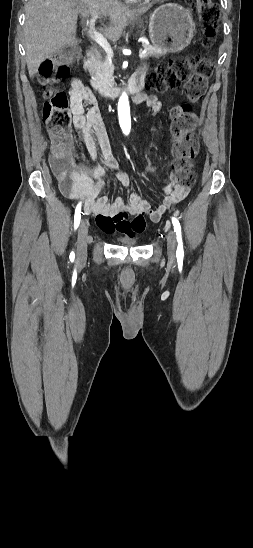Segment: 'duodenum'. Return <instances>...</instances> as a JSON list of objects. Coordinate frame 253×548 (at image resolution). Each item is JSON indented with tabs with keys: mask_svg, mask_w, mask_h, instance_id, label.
<instances>
[{
	"mask_svg": "<svg viewBox=\"0 0 253 548\" xmlns=\"http://www.w3.org/2000/svg\"><path fill=\"white\" fill-rule=\"evenodd\" d=\"M98 56H99V50L95 47H92L88 49L86 53V60L93 61ZM142 87H143V77L141 75H136L130 80L129 85L126 88V92H128L129 94L137 95L141 91ZM100 92L104 97L116 98L124 92V89L110 86V87L101 88Z\"/></svg>",
	"mask_w": 253,
	"mask_h": 548,
	"instance_id": "1",
	"label": "duodenum"
}]
</instances>
